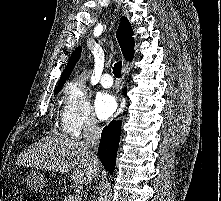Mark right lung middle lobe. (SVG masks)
<instances>
[{"instance_id": "1", "label": "right lung middle lobe", "mask_w": 221, "mask_h": 201, "mask_svg": "<svg viewBox=\"0 0 221 201\" xmlns=\"http://www.w3.org/2000/svg\"><path fill=\"white\" fill-rule=\"evenodd\" d=\"M58 92H59V91H55V92H54V95H56Z\"/></svg>"}]
</instances>
